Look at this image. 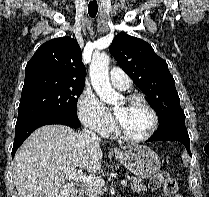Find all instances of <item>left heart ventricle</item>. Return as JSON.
Returning a JSON list of instances; mask_svg holds the SVG:
<instances>
[{
    "label": "left heart ventricle",
    "instance_id": "obj_1",
    "mask_svg": "<svg viewBox=\"0 0 209 197\" xmlns=\"http://www.w3.org/2000/svg\"><path fill=\"white\" fill-rule=\"evenodd\" d=\"M122 129L130 136H141L149 129L152 118L140 102L122 100L114 109Z\"/></svg>",
    "mask_w": 209,
    "mask_h": 197
}]
</instances>
